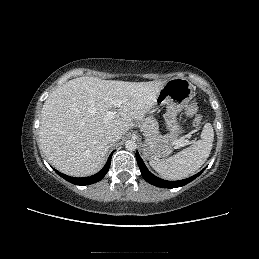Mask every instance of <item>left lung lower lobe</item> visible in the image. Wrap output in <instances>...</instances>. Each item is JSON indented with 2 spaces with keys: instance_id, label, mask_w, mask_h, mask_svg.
<instances>
[{
  "instance_id": "left-lung-lower-lobe-1",
  "label": "left lung lower lobe",
  "mask_w": 259,
  "mask_h": 259,
  "mask_svg": "<svg viewBox=\"0 0 259 259\" xmlns=\"http://www.w3.org/2000/svg\"><path fill=\"white\" fill-rule=\"evenodd\" d=\"M136 159H137V163H138V166L140 168V171H141V174H142L143 178L148 183H150L154 186H157V187H162V188H177V187L184 186L187 183L194 180L195 178H197L204 171V169H203L202 171H200L196 175H194L192 177H189L187 179H184V180L167 181V180L160 179V178L156 177L155 175H153L151 172H149V170L145 166V164H144L143 160L141 159L138 152H136Z\"/></svg>"
}]
</instances>
